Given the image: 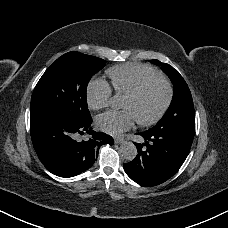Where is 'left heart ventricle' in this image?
<instances>
[{
	"instance_id": "b2bd125f",
	"label": "left heart ventricle",
	"mask_w": 228,
	"mask_h": 228,
	"mask_svg": "<svg viewBox=\"0 0 228 228\" xmlns=\"http://www.w3.org/2000/svg\"><path fill=\"white\" fill-rule=\"evenodd\" d=\"M164 96L165 88L162 84H158L137 99L125 98L122 106L130 110L139 120H147L158 111Z\"/></svg>"
}]
</instances>
